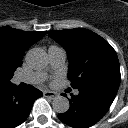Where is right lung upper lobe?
Masks as SVG:
<instances>
[{
	"instance_id": "cb5924a9",
	"label": "right lung upper lobe",
	"mask_w": 128,
	"mask_h": 128,
	"mask_svg": "<svg viewBox=\"0 0 128 128\" xmlns=\"http://www.w3.org/2000/svg\"><path fill=\"white\" fill-rule=\"evenodd\" d=\"M47 31H21L8 26L0 28V71H15L22 65L24 52Z\"/></svg>"
}]
</instances>
